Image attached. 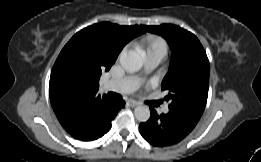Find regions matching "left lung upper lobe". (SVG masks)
Instances as JSON below:
<instances>
[{
	"label": "left lung upper lobe",
	"mask_w": 261,
	"mask_h": 162,
	"mask_svg": "<svg viewBox=\"0 0 261 162\" xmlns=\"http://www.w3.org/2000/svg\"><path fill=\"white\" fill-rule=\"evenodd\" d=\"M143 30L161 35L172 55L169 71L162 82L168 90L169 109L185 111L197 119L203 114L209 88V60L198 38L176 25H143Z\"/></svg>",
	"instance_id": "obj_1"
}]
</instances>
